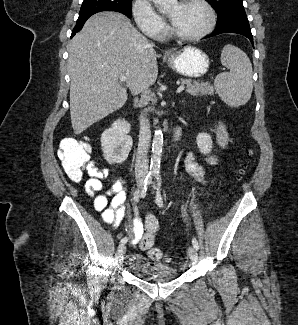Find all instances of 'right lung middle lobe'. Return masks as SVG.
I'll list each match as a JSON object with an SVG mask.
<instances>
[{"label":"right lung middle lobe","instance_id":"dd1d6c3e","mask_svg":"<svg viewBox=\"0 0 298 325\" xmlns=\"http://www.w3.org/2000/svg\"><path fill=\"white\" fill-rule=\"evenodd\" d=\"M131 7L132 0H84L78 19H87L100 11H117L130 18Z\"/></svg>","mask_w":298,"mask_h":325}]
</instances>
